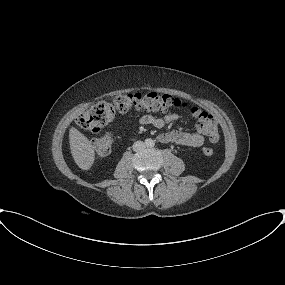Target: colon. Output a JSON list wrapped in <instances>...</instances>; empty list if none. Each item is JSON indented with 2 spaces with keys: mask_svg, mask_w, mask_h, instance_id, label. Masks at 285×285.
Listing matches in <instances>:
<instances>
[{
  "mask_svg": "<svg viewBox=\"0 0 285 285\" xmlns=\"http://www.w3.org/2000/svg\"><path fill=\"white\" fill-rule=\"evenodd\" d=\"M187 104L178 98L169 95H159L155 92L139 93L126 92L115 96L112 102H103L92 107L77 119L78 126L89 132H99L101 128L110 123L116 113H128L130 111L166 112L170 109H185ZM198 130L204 133L211 142L219 139V128L215 118L198 108L189 110ZM113 145V136L106 133L95 143V151L98 157L107 156ZM211 147H204L203 153L207 156L213 154Z\"/></svg>",
  "mask_w": 285,
  "mask_h": 285,
  "instance_id": "1",
  "label": "colon"
}]
</instances>
